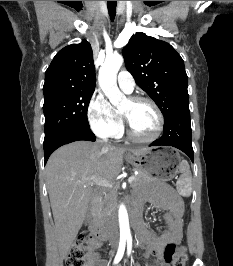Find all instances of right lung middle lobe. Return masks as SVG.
<instances>
[{
    "label": "right lung middle lobe",
    "mask_w": 233,
    "mask_h": 266,
    "mask_svg": "<svg viewBox=\"0 0 233 266\" xmlns=\"http://www.w3.org/2000/svg\"><path fill=\"white\" fill-rule=\"evenodd\" d=\"M94 90L72 91L45 96V139L62 131L88 127L87 109Z\"/></svg>",
    "instance_id": "obj_1"
}]
</instances>
